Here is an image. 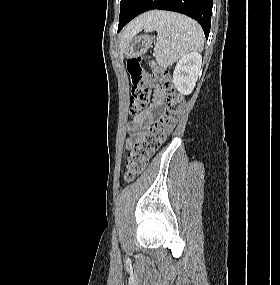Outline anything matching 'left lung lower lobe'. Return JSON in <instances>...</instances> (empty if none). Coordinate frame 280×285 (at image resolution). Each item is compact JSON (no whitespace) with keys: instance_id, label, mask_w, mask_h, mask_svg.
<instances>
[{"instance_id":"left-lung-lower-lobe-1","label":"left lung lower lobe","mask_w":280,"mask_h":285,"mask_svg":"<svg viewBox=\"0 0 280 285\" xmlns=\"http://www.w3.org/2000/svg\"><path fill=\"white\" fill-rule=\"evenodd\" d=\"M212 5L213 0H137L128 18L118 28V31L139 14L152 9H161L179 12L194 18L200 23L206 38H208Z\"/></svg>"}]
</instances>
